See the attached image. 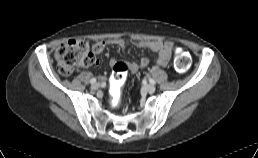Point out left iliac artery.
Returning a JSON list of instances; mask_svg holds the SVG:
<instances>
[{"label":"left iliac artery","mask_w":258,"mask_h":158,"mask_svg":"<svg viewBox=\"0 0 258 158\" xmlns=\"http://www.w3.org/2000/svg\"><path fill=\"white\" fill-rule=\"evenodd\" d=\"M149 82H150L151 84H155V83H156L152 78H149Z\"/></svg>","instance_id":"obj_1"}]
</instances>
